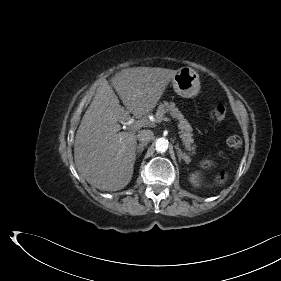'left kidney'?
Segmentation results:
<instances>
[{"label":"left kidney","mask_w":281,"mask_h":281,"mask_svg":"<svg viewBox=\"0 0 281 281\" xmlns=\"http://www.w3.org/2000/svg\"><path fill=\"white\" fill-rule=\"evenodd\" d=\"M190 182L196 187L199 186V174H192L190 176Z\"/></svg>","instance_id":"5707ae66"}]
</instances>
